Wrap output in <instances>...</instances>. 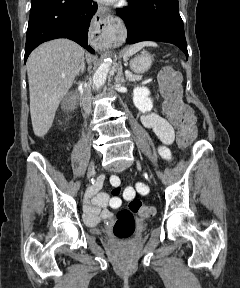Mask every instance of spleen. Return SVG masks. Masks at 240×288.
<instances>
[{
    "instance_id": "obj_1",
    "label": "spleen",
    "mask_w": 240,
    "mask_h": 288,
    "mask_svg": "<svg viewBox=\"0 0 240 288\" xmlns=\"http://www.w3.org/2000/svg\"><path fill=\"white\" fill-rule=\"evenodd\" d=\"M148 46L156 47L157 44L153 41H142V42L136 43L127 50L126 56L129 57L135 54L136 52H138L139 50H141L143 47H148Z\"/></svg>"
}]
</instances>
